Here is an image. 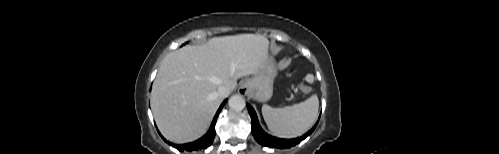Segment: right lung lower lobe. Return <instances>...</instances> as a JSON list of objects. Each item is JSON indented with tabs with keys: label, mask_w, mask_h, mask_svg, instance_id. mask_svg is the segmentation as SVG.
I'll return each instance as SVG.
<instances>
[{
	"label": "right lung lower lobe",
	"mask_w": 499,
	"mask_h": 154,
	"mask_svg": "<svg viewBox=\"0 0 499 154\" xmlns=\"http://www.w3.org/2000/svg\"><path fill=\"white\" fill-rule=\"evenodd\" d=\"M227 100H225L221 106L219 107L213 121H212V124H211V127L208 131V133L202 137L201 139L195 141V142H192V143H188V144H183V145H176V144H171L170 142H168V144L172 145L173 147L177 148L179 151H193V150H197V149H205L207 148L208 146H210L214 140V137H215V124H216V119L220 113V111L222 110L223 106L225 105ZM160 134V133H159ZM165 140V139H164ZM166 141V140H165Z\"/></svg>",
	"instance_id": "obj_1"
}]
</instances>
